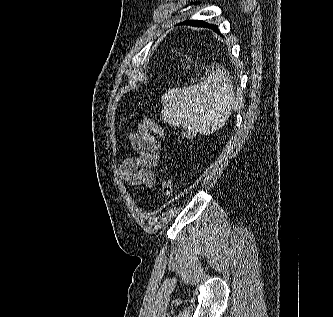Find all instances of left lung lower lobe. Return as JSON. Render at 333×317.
Returning a JSON list of instances; mask_svg holds the SVG:
<instances>
[{
    "instance_id": "left-lung-lower-lobe-1",
    "label": "left lung lower lobe",
    "mask_w": 333,
    "mask_h": 317,
    "mask_svg": "<svg viewBox=\"0 0 333 317\" xmlns=\"http://www.w3.org/2000/svg\"><path fill=\"white\" fill-rule=\"evenodd\" d=\"M183 24L191 25V26H194V27L210 28L213 31H215L217 33H220L217 25L209 24V23H206L205 21H202V20H186L185 22H183Z\"/></svg>"
}]
</instances>
